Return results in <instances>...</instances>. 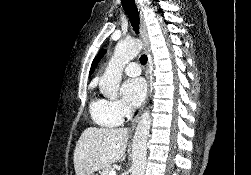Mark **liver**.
<instances>
[{"instance_id": "6515ba94", "label": "liver", "mask_w": 251, "mask_h": 175, "mask_svg": "<svg viewBox=\"0 0 251 175\" xmlns=\"http://www.w3.org/2000/svg\"><path fill=\"white\" fill-rule=\"evenodd\" d=\"M129 133L128 127H86L74 149L76 175H92L114 161H124Z\"/></svg>"}]
</instances>
